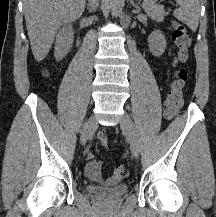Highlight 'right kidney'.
Listing matches in <instances>:
<instances>
[{"label":"right kidney","instance_id":"1","mask_svg":"<svg viewBox=\"0 0 216 217\" xmlns=\"http://www.w3.org/2000/svg\"><path fill=\"white\" fill-rule=\"evenodd\" d=\"M74 33L72 30V26L69 24L63 27L58 34L56 35V42H55V58L56 60H61L64 58L73 44Z\"/></svg>","mask_w":216,"mask_h":217}]
</instances>
